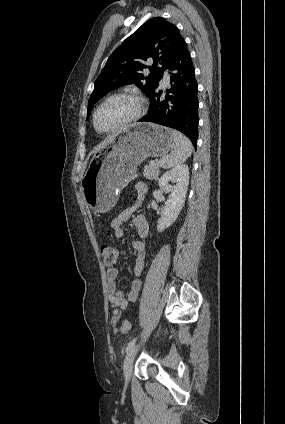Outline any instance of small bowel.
<instances>
[{
    "label": "small bowel",
    "mask_w": 285,
    "mask_h": 424,
    "mask_svg": "<svg viewBox=\"0 0 285 424\" xmlns=\"http://www.w3.org/2000/svg\"><path fill=\"white\" fill-rule=\"evenodd\" d=\"M147 193V187L144 184H137L136 186V201L130 206L125 207L116 217H114L110 223V226L114 232V236L117 239L126 238V233L123 229V224L128 221L133 213L138 209ZM132 224L137 231V235L140 238H145L149 232L148 222L144 215H136L132 218ZM133 250L136 253L135 262L133 266L134 280L131 283V288L128 295H125L123 291L117 285V279L119 271L116 268H109L107 270V296L111 305L116 310H126L131 302L138 299L139 293L142 288L141 277L144 271V264L146 258V246L143 240L134 239L131 241ZM118 319L112 320L114 330H116Z\"/></svg>",
    "instance_id": "1"
}]
</instances>
